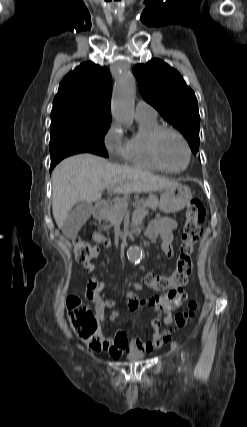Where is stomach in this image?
<instances>
[{
	"label": "stomach",
	"instance_id": "1",
	"mask_svg": "<svg viewBox=\"0 0 247 427\" xmlns=\"http://www.w3.org/2000/svg\"><path fill=\"white\" fill-rule=\"evenodd\" d=\"M192 193L188 186L177 183L161 193L159 208L165 213H175L184 209L191 201Z\"/></svg>",
	"mask_w": 247,
	"mask_h": 427
}]
</instances>
